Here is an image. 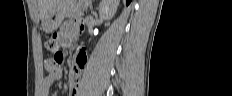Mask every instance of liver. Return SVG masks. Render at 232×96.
I'll list each match as a JSON object with an SVG mask.
<instances>
[{
  "label": "liver",
  "mask_w": 232,
  "mask_h": 96,
  "mask_svg": "<svg viewBox=\"0 0 232 96\" xmlns=\"http://www.w3.org/2000/svg\"><path fill=\"white\" fill-rule=\"evenodd\" d=\"M53 3H54V0H38L40 17H41L42 21H43L45 15L51 9Z\"/></svg>",
  "instance_id": "1"
}]
</instances>
